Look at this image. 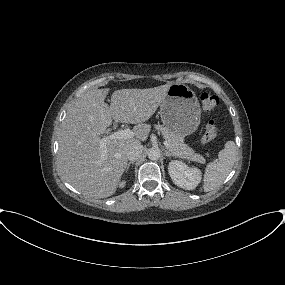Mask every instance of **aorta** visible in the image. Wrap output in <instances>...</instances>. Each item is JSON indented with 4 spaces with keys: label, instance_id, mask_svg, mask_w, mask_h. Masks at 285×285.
<instances>
[{
    "label": "aorta",
    "instance_id": "1",
    "mask_svg": "<svg viewBox=\"0 0 285 285\" xmlns=\"http://www.w3.org/2000/svg\"><path fill=\"white\" fill-rule=\"evenodd\" d=\"M161 157V151L158 147H152L148 150V158L150 160H158Z\"/></svg>",
    "mask_w": 285,
    "mask_h": 285
}]
</instances>
